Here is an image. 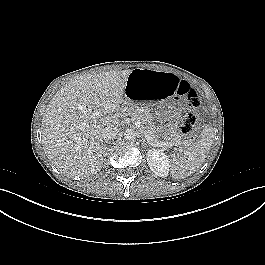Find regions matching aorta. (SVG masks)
Here are the masks:
<instances>
[{
	"label": "aorta",
	"instance_id": "aorta-1",
	"mask_svg": "<svg viewBox=\"0 0 265 265\" xmlns=\"http://www.w3.org/2000/svg\"><path fill=\"white\" fill-rule=\"evenodd\" d=\"M136 137V132L133 129H126L124 132V138L126 140H133Z\"/></svg>",
	"mask_w": 265,
	"mask_h": 265
}]
</instances>
